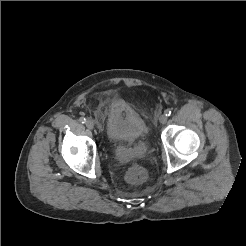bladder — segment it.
Listing matches in <instances>:
<instances>
[{
    "instance_id": "31cf9c89",
    "label": "bladder",
    "mask_w": 246,
    "mask_h": 246,
    "mask_svg": "<svg viewBox=\"0 0 246 246\" xmlns=\"http://www.w3.org/2000/svg\"><path fill=\"white\" fill-rule=\"evenodd\" d=\"M106 134L112 142H134L147 136L148 128L141 115L125 101L113 97L105 105ZM127 152H116L118 163L128 161Z\"/></svg>"
}]
</instances>
